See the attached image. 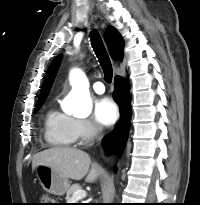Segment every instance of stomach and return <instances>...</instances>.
Listing matches in <instances>:
<instances>
[{
  "label": "stomach",
  "mask_w": 200,
  "mask_h": 205,
  "mask_svg": "<svg viewBox=\"0 0 200 205\" xmlns=\"http://www.w3.org/2000/svg\"><path fill=\"white\" fill-rule=\"evenodd\" d=\"M36 176L43 189L51 194L62 196L69 189V178L54 168L39 165L36 167Z\"/></svg>",
  "instance_id": "stomach-1"
}]
</instances>
